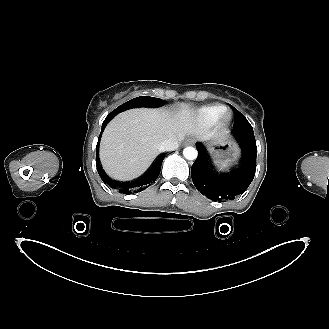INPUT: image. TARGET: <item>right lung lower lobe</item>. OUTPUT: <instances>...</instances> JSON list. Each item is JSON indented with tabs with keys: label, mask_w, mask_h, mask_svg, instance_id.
Wrapping results in <instances>:
<instances>
[{
	"label": "right lung lower lobe",
	"mask_w": 329,
	"mask_h": 329,
	"mask_svg": "<svg viewBox=\"0 0 329 329\" xmlns=\"http://www.w3.org/2000/svg\"><path fill=\"white\" fill-rule=\"evenodd\" d=\"M112 118H113L112 116H107L106 117V119L104 120V122L102 124L101 133H100V136L98 138V143H97V146H96L97 171H98L101 179L103 180V182L105 184L109 185L111 188L118 190L119 193L130 194L132 192L142 191L146 187L151 185V183H153L158 178V176L160 174V170H161V165H162V162H163L164 157H165V153H162L161 155H159L157 157V159L154 161V163L151 165V167L148 169V171L144 175H142L141 177L137 178L134 181L119 182V181H115V180L111 179L110 177H108L105 174L102 167L100 166L99 152L98 151H99V142H100L101 135H102L106 125L108 124V122Z\"/></svg>",
	"instance_id": "98d812e1"
}]
</instances>
